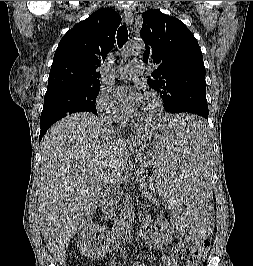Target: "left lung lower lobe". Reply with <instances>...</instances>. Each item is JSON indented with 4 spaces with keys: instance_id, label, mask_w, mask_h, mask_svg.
I'll return each instance as SVG.
<instances>
[{
    "instance_id": "0a47b994",
    "label": "left lung lower lobe",
    "mask_w": 253,
    "mask_h": 266,
    "mask_svg": "<svg viewBox=\"0 0 253 266\" xmlns=\"http://www.w3.org/2000/svg\"><path fill=\"white\" fill-rule=\"evenodd\" d=\"M192 112H194V111H189L190 114H191ZM193 125H194V127H195L196 129H199V128L202 127L203 122H202V121H199V120H196V121L193 120Z\"/></svg>"
}]
</instances>
